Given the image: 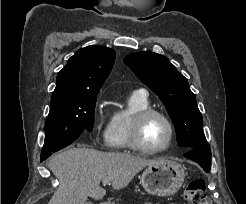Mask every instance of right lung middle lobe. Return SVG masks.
<instances>
[{
	"label": "right lung middle lobe",
	"instance_id": "obj_1",
	"mask_svg": "<svg viewBox=\"0 0 246 204\" xmlns=\"http://www.w3.org/2000/svg\"><path fill=\"white\" fill-rule=\"evenodd\" d=\"M96 101L97 94L51 101L41 157L68 146L84 130L92 131Z\"/></svg>",
	"mask_w": 246,
	"mask_h": 204
}]
</instances>
